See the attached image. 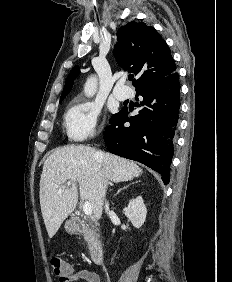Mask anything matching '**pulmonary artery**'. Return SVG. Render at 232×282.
<instances>
[{
  "instance_id": "e3ab8cb5",
  "label": "pulmonary artery",
  "mask_w": 232,
  "mask_h": 282,
  "mask_svg": "<svg viewBox=\"0 0 232 282\" xmlns=\"http://www.w3.org/2000/svg\"><path fill=\"white\" fill-rule=\"evenodd\" d=\"M114 96L116 99L123 101L131 96L130 89L124 85L123 82H120L114 88Z\"/></svg>"
}]
</instances>
